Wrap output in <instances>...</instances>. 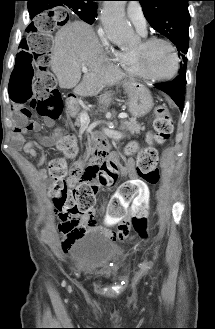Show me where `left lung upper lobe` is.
Returning <instances> with one entry per match:
<instances>
[{"label":"left lung upper lobe","instance_id":"1","mask_svg":"<svg viewBox=\"0 0 215 329\" xmlns=\"http://www.w3.org/2000/svg\"><path fill=\"white\" fill-rule=\"evenodd\" d=\"M149 24L159 33L170 39L178 49L181 59L179 73L185 70L189 44L190 0H138Z\"/></svg>","mask_w":215,"mask_h":329}]
</instances>
